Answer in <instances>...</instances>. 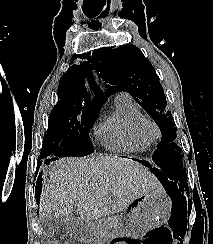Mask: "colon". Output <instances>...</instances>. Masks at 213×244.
Listing matches in <instances>:
<instances>
[{
  "mask_svg": "<svg viewBox=\"0 0 213 244\" xmlns=\"http://www.w3.org/2000/svg\"><path fill=\"white\" fill-rule=\"evenodd\" d=\"M50 244H60V243H58V242H51ZM66 244H68V243H66Z\"/></svg>",
  "mask_w": 213,
  "mask_h": 244,
  "instance_id": "1",
  "label": "colon"
}]
</instances>
